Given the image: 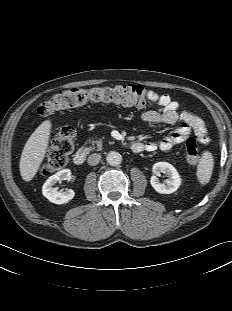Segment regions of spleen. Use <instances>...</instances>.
Here are the masks:
<instances>
[{
    "label": "spleen",
    "instance_id": "spleen-1",
    "mask_svg": "<svg viewBox=\"0 0 232 311\" xmlns=\"http://www.w3.org/2000/svg\"><path fill=\"white\" fill-rule=\"evenodd\" d=\"M213 160L214 159L212 154L208 151L204 152L200 158V161L197 165L196 175L201 185H205L210 181L214 167Z\"/></svg>",
    "mask_w": 232,
    "mask_h": 311
}]
</instances>
